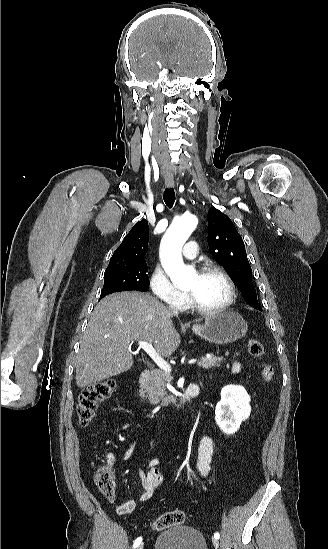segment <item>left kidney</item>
<instances>
[{"instance_id": "5707ae66", "label": "left kidney", "mask_w": 328, "mask_h": 549, "mask_svg": "<svg viewBox=\"0 0 328 549\" xmlns=\"http://www.w3.org/2000/svg\"><path fill=\"white\" fill-rule=\"evenodd\" d=\"M250 397L240 385H226L215 409V421L225 435H234L251 413Z\"/></svg>"}]
</instances>
